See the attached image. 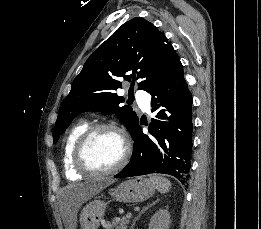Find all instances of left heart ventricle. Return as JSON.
Segmentation results:
<instances>
[{
	"label": "left heart ventricle",
	"instance_id": "obj_1",
	"mask_svg": "<svg viewBox=\"0 0 261 229\" xmlns=\"http://www.w3.org/2000/svg\"><path fill=\"white\" fill-rule=\"evenodd\" d=\"M123 154V142L120 136L112 131L98 132L87 148L89 163L98 169L112 168L120 161Z\"/></svg>",
	"mask_w": 261,
	"mask_h": 229
}]
</instances>
